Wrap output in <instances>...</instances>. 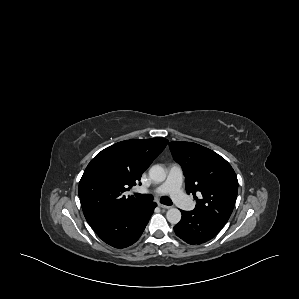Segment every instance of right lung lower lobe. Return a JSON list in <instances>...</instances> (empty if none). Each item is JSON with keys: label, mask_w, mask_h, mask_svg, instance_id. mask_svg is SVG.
<instances>
[{"label": "right lung lower lobe", "mask_w": 299, "mask_h": 299, "mask_svg": "<svg viewBox=\"0 0 299 299\" xmlns=\"http://www.w3.org/2000/svg\"><path fill=\"white\" fill-rule=\"evenodd\" d=\"M155 207V203H140L98 220L90 226L105 243L115 248H125L139 239Z\"/></svg>", "instance_id": "1"}]
</instances>
